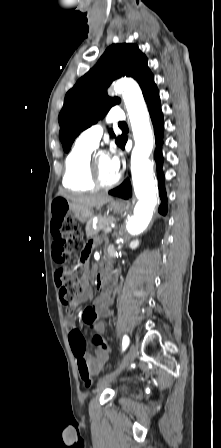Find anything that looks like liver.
Here are the masks:
<instances>
[{"mask_svg": "<svg viewBox=\"0 0 221 448\" xmlns=\"http://www.w3.org/2000/svg\"><path fill=\"white\" fill-rule=\"evenodd\" d=\"M64 198L71 202L75 209H92L100 208L110 202L112 198L106 193H96L90 195H70L60 193Z\"/></svg>", "mask_w": 221, "mask_h": 448, "instance_id": "6515ba94", "label": "liver"}]
</instances>
